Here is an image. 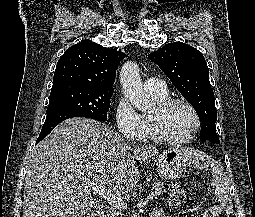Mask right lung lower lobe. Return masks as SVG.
<instances>
[{
  "instance_id": "1",
  "label": "right lung lower lobe",
  "mask_w": 255,
  "mask_h": 217,
  "mask_svg": "<svg viewBox=\"0 0 255 217\" xmlns=\"http://www.w3.org/2000/svg\"><path fill=\"white\" fill-rule=\"evenodd\" d=\"M72 117H86L97 120L96 118L81 112H73L68 110L53 111L46 115V120L41 129L36 144L39 143L43 138H45L59 123Z\"/></svg>"
}]
</instances>
